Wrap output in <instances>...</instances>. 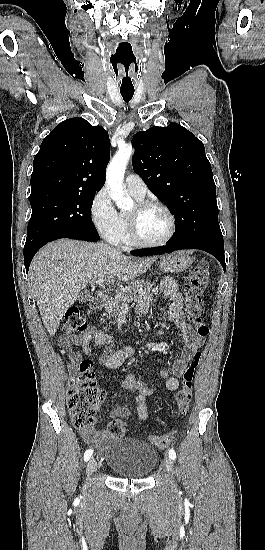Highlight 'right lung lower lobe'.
Here are the masks:
<instances>
[{"label":"right lung lower lobe","instance_id":"1","mask_svg":"<svg viewBox=\"0 0 265 550\" xmlns=\"http://www.w3.org/2000/svg\"><path fill=\"white\" fill-rule=\"evenodd\" d=\"M60 238L78 239V240L91 241V242H95L100 239L99 235H92V234H86L81 232L59 233L54 237H52L51 239H49L48 241L42 242L36 245L35 247L31 248L30 250L24 251V264H25L26 272H28L31 260L36 254V252L48 242H51L53 240L60 239Z\"/></svg>","mask_w":265,"mask_h":550}]
</instances>
